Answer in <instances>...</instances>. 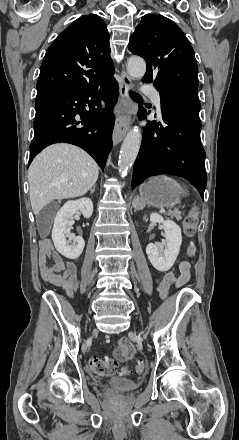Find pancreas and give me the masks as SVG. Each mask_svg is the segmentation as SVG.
I'll list each match as a JSON object with an SVG mask.
<instances>
[{
  "instance_id": "1",
  "label": "pancreas",
  "mask_w": 239,
  "mask_h": 440,
  "mask_svg": "<svg viewBox=\"0 0 239 440\" xmlns=\"http://www.w3.org/2000/svg\"><path fill=\"white\" fill-rule=\"evenodd\" d=\"M168 216H171V218H176V220H182V212H178V210H169Z\"/></svg>"
}]
</instances>
